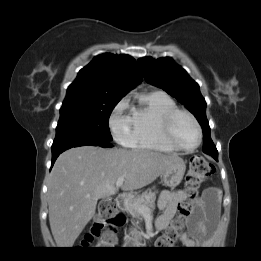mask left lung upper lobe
I'll use <instances>...</instances> for the list:
<instances>
[{"label":"left lung upper lobe","instance_id":"left-lung-upper-lobe-1","mask_svg":"<svg viewBox=\"0 0 261 261\" xmlns=\"http://www.w3.org/2000/svg\"><path fill=\"white\" fill-rule=\"evenodd\" d=\"M143 76L149 84L165 90L183 103L196 117L203 129V151L218 156L217 149L210 137V126L206 118V102L200 93L199 85L188 73L171 58L153 59L144 57L138 60Z\"/></svg>","mask_w":261,"mask_h":261}]
</instances>
